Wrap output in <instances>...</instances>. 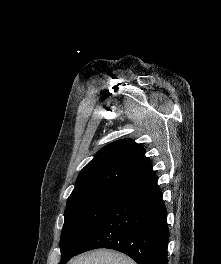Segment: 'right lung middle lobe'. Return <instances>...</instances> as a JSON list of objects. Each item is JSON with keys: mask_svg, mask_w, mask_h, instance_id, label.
I'll return each mask as SVG.
<instances>
[{"mask_svg": "<svg viewBox=\"0 0 221 264\" xmlns=\"http://www.w3.org/2000/svg\"><path fill=\"white\" fill-rule=\"evenodd\" d=\"M124 190L121 186H100L70 195L61 233V261L82 246Z\"/></svg>", "mask_w": 221, "mask_h": 264, "instance_id": "dd1d6c3e", "label": "right lung middle lobe"}]
</instances>
